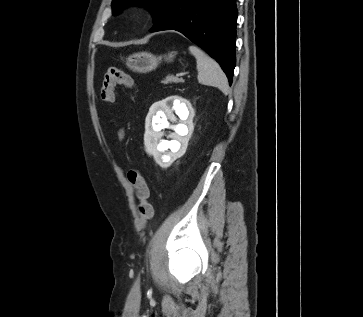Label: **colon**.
Masks as SVG:
<instances>
[{
	"mask_svg": "<svg viewBox=\"0 0 363 317\" xmlns=\"http://www.w3.org/2000/svg\"><path fill=\"white\" fill-rule=\"evenodd\" d=\"M116 85L132 88L134 83L129 74L116 67H111L106 71L102 80L99 93V97L102 102L112 103L114 101ZM128 179L134 187L136 196L139 200V224L141 226H145L153 216V207L149 202V188L142 172L139 169H130L128 172Z\"/></svg>",
	"mask_w": 363,
	"mask_h": 317,
	"instance_id": "1",
	"label": "colon"
}]
</instances>
